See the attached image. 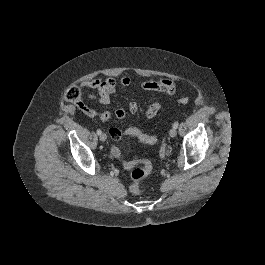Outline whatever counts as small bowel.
Here are the masks:
<instances>
[{
  "label": "small bowel",
  "instance_id": "small-bowel-1",
  "mask_svg": "<svg viewBox=\"0 0 265 265\" xmlns=\"http://www.w3.org/2000/svg\"><path fill=\"white\" fill-rule=\"evenodd\" d=\"M132 84V79L128 75H122L118 80L113 77H106V78H93L90 79L82 84L83 88L92 89L95 93L89 95L91 99L96 100L101 105H108L110 103L111 95L115 94L118 89V85L123 87H128ZM140 86L149 92H164L169 95L173 94L176 90V84L167 79H161L158 81H144L140 83ZM81 109L89 116L98 117L102 122H107L111 119L112 114L110 111H103V112H96L93 110L88 109L85 106H80ZM161 108L160 103L154 102L152 103L147 111L146 115L148 118H154ZM129 111L132 114H136L138 111V106L135 102H131L129 104ZM116 117L122 119L126 116V111L124 108L119 107L115 111ZM119 130L117 128H111ZM109 130V132H110Z\"/></svg>",
  "mask_w": 265,
  "mask_h": 265
}]
</instances>
